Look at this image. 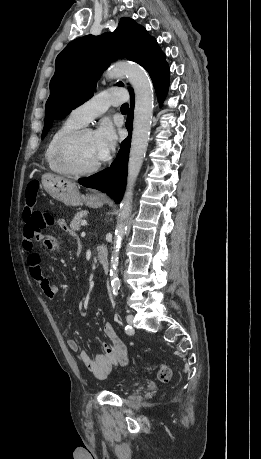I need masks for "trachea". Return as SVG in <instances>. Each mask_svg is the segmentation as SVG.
<instances>
[{
  "instance_id": "1",
  "label": "trachea",
  "mask_w": 261,
  "mask_h": 459,
  "mask_svg": "<svg viewBox=\"0 0 261 459\" xmlns=\"http://www.w3.org/2000/svg\"><path fill=\"white\" fill-rule=\"evenodd\" d=\"M129 105L127 103L121 106V111H128Z\"/></svg>"
}]
</instances>
